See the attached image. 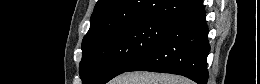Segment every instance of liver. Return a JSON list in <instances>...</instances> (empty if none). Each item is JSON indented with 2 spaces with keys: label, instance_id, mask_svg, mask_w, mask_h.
Returning a JSON list of instances; mask_svg holds the SVG:
<instances>
[{
  "label": "liver",
  "instance_id": "6515ba94",
  "mask_svg": "<svg viewBox=\"0 0 260 84\" xmlns=\"http://www.w3.org/2000/svg\"><path fill=\"white\" fill-rule=\"evenodd\" d=\"M189 82L181 76L151 72L124 73L115 80V84H189Z\"/></svg>",
  "mask_w": 260,
  "mask_h": 84
}]
</instances>
